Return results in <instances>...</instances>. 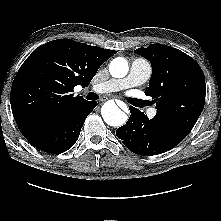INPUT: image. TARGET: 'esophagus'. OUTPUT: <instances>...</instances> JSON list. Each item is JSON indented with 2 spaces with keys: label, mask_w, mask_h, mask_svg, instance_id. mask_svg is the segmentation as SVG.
<instances>
[{
  "label": "esophagus",
  "mask_w": 221,
  "mask_h": 221,
  "mask_svg": "<svg viewBox=\"0 0 221 221\" xmlns=\"http://www.w3.org/2000/svg\"><path fill=\"white\" fill-rule=\"evenodd\" d=\"M106 100H108V97H106V96H104V97H102L101 98V101H106ZM120 104L123 106H125V104L123 103V102H120Z\"/></svg>",
  "instance_id": "1"
}]
</instances>
